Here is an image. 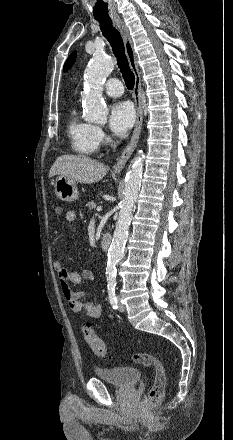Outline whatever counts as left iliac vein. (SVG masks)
I'll return each mask as SVG.
<instances>
[{
    "label": "left iliac vein",
    "mask_w": 233,
    "mask_h": 440,
    "mask_svg": "<svg viewBox=\"0 0 233 440\" xmlns=\"http://www.w3.org/2000/svg\"><path fill=\"white\" fill-rule=\"evenodd\" d=\"M118 300H119V298H118ZM118 309H119V311L124 312V311L126 310V307H125L124 304H122V303L119 301V302H118Z\"/></svg>",
    "instance_id": "left-iliac-vein-1"
}]
</instances>
